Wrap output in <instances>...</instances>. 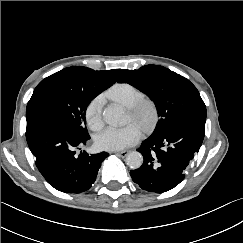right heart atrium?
Returning <instances> with one entry per match:
<instances>
[{"instance_id": "d8ad5b80", "label": "right heart atrium", "mask_w": 243, "mask_h": 243, "mask_svg": "<svg viewBox=\"0 0 243 243\" xmlns=\"http://www.w3.org/2000/svg\"><path fill=\"white\" fill-rule=\"evenodd\" d=\"M103 104L102 96H97L90 101L86 107L85 117L90 129L97 131L103 126Z\"/></svg>"}]
</instances>
